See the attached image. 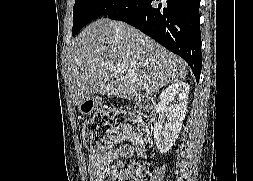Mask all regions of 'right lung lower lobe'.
Instances as JSON below:
<instances>
[{"mask_svg": "<svg viewBox=\"0 0 253 181\" xmlns=\"http://www.w3.org/2000/svg\"><path fill=\"white\" fill-rule=\"evenodd\" d=\"M199 6L200 0H128L108 17L136 27L181 56L198 82L202 67Z\"/></svg>", "mask_w": 253, "mask_h": 181, "instance_id": "1", "label": "right lung lower lobe"}]
</instances>
